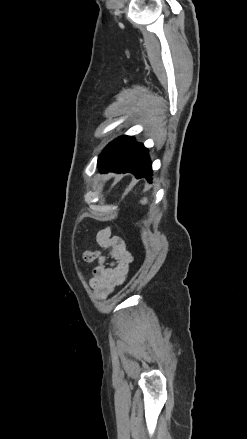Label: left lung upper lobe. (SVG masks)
<instances>
[{
    "label": "left lung upper lobe",
    "mask_w": 247,
    "mask_h": 439,
    "mask_svg": "<svg viewBox=\"0 0 247 439\" xmlns=\"http://www.w3.org/2000/svg\"><path fill=\"white\" fill-rule=\"evenodd\" d=\"M135 143L132 136H121L105 147L99 155V167H108L109 169H122L128 159L129 153Z\"/></svg>",
    "instance_id": "1"
}]
</instances>
